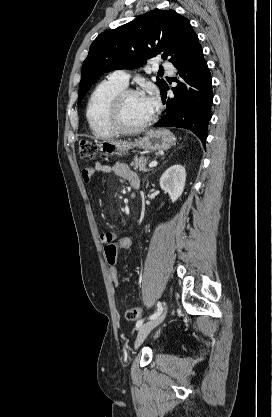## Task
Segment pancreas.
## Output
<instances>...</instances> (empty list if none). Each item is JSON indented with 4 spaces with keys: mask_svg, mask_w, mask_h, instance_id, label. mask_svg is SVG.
Returning <instances> with one entry per match:
<instances>
[{
    "mask_svg": "<svg viewBox=\"0 0 272 417\" xmlns=\"http://www.w3.org/2000/svg\"><path fill=\"white\" fill-rule=\"evenodd\" d=\"M149 162L148 157L141 156L140 158L135 157L133 162H131V166L134 167V170H139L141 172H147L149 171L146 166Z\"/></svg>",
    "mask_w": 272,
    "mask_h": 417,
    "instance_id": "1",
    "label": "pancreas"
}]
</instances>
